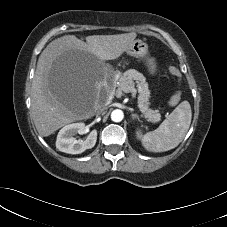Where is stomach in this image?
Masks as SVG:
<instances>
[{
	"label": "stomach",
	"instance_id": "0dacf381",
	"mask_svg": "<svg viewBox=\"0 0 227 227\" xmlns=\"http://www.w3.org/2000/svg\"><path fill=\"white\" fill-rule=\"evenodd\" d=\"M126 53L130 56L141 59L148 68L150 74H155L157 62L153 57H148V45L143 40L137 39L126 50Z\"/></svg>",
	"mask_w": 227,
	"mask_h": 227
}]
</instances>
